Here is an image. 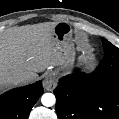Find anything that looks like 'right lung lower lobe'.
<instances>
[{"instance_id":"1","label":"right lung lower lobe","mask_w":119,"mask_h":119,"mask_svg":"<svg viewBox=\"0 0 119 119\" xmlns=\"http://www.w3.org/2000/svg\"><path fill=\"white\" fill-rule=\"evenodd\" d=\"M42 82L12 89L0 96V119H28L32 107L43 94Z\"/></svg>"}]
</instances>
